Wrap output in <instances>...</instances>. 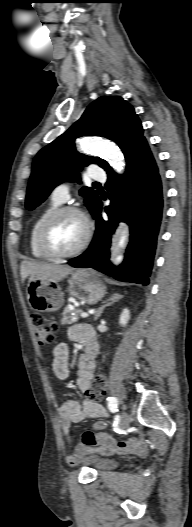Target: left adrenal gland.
I'll return each mask as SVG.
<instances>
[{"instance_id":"obj_1","label":"left adrenal gland","mask_w":192,"mask_h":527,"mask_svg":"<svg viewBox=\"0 0 192 527\" xmlns=\"http://www.w3.org/2000/svg\"><path fill=\"white\" fill-rule=\"evenodd\" d=\"M123 296L122 295H119V294H113L106 302H104L105 304L102 305L98 311L95 313V317H94V320L97 321V319L101 316V314L103 313L104 309L110 305H112L113 303L117 302L119 299H121Z\"/></svg>"}]
</instances>
